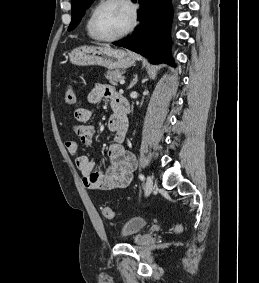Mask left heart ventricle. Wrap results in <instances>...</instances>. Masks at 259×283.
Masks as SVG:
<instances>
[{
    "label": "left heart ventricle",
    "mask_w": 259,
    "mask_h": 283,
    "mask_svg": "<svg viewBox=\"0 0 259 283\" xmlns=\"http://www.w3.org/2000/svg\"><path fill=\"white\" fill-rule=\"evenodd\" d=\"M131 19L129 8L122 2H111L100 9L96 17V30L103 37L121 33Z\"/></svg>",
    "instance_id": "obj_1"
}]
</instances>
